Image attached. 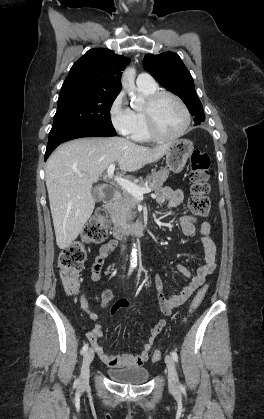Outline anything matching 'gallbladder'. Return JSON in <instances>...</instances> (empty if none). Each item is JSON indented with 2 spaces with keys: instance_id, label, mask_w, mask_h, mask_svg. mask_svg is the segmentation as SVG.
I'll return each instance as SVG.
<instances>
[{
  "instance_id": "bac80fb5",
  "label": "gallbladder",
  "mask_w": 264,
  "mask_h": 419,
  "mask_svg": "<svg viewBox=\"0 0 264 419\" xmlns=\"http://www.w3.org/2000/svg\"><path fill=\"white\" fill-rule=\"evenodd\" d=\"M93 197L96 201H100L101 200V192L99 189H95L93 191Z\"/></svg>"
}]
</instances>
